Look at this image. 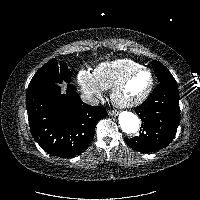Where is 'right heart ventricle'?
Masks as SVG:
<instances>
[{"mask_svg": "<svg viewBox=\"0 0 200 200\" xmlns=\"http://www.w3.org/2000/svg\"><path fill=\"white\" fill-rule=\"evenodd\" d=\"M142 65L132 59L121 58L99 64L93 74L104 89L113 88L123 77Z\"/></svg>", "mask_w": 200, "mask_h": 200, "instance_id": "obj_1", "label": "right heart ventricle"}]
</instances>
